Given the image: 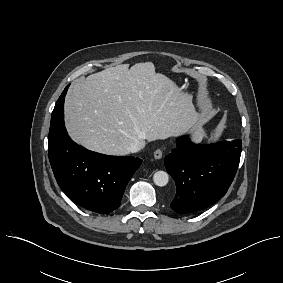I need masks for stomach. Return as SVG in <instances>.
<instances>
[{
	"instance_id": "0dacf381",
	"label": "stomach",
	"mask_w": 283,
	"mask_h": 283,
	"mask_svg": "<svg viewBox=\"0 0 283 283\" xmlns=\"http://www.w3.org/2000/svg\"><path fill=\"white\" fill-rule=\"evenodd\" d=\"M198 135H199V139H200V140L207 137L205 131L202 129L201 126H200V128H199V130H198Z\"/></svg>"
}]
</instances>
